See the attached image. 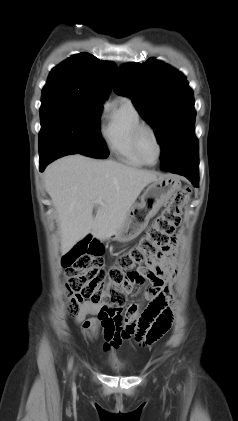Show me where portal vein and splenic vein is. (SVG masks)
<instances>
[{
    "label": "portal vein and splenic vein",
    "mask_w": 238,
    "mask_h": 421,
    "mask_svg": "<svg viewBox=\"0 0 238 421\" xmlns=\"http://www.w3.org/2000/svg\"><path fill=\"white\" fill-rule=\"evenodd\" d=\"M96 202L97 203H102L101 198H98Z\"/></svg>",
    "instance_id": "obj_1"
}]
</instances>
